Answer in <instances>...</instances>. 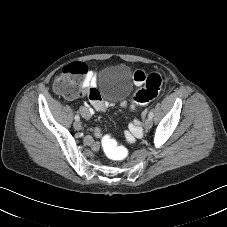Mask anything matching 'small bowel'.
I'll return each mask as SVG.
<instances>
[{
	"mask_svg": "<svg viewBox=\"0 0 227 227\" xmlns=\"http://www.w3.org/2000/svg\"><path fill=\"white\" fill-rule=\"evenodd\" d=\"M83 78V88L82 95H89L92 90H95L96 87V72L91 70L86 65L81 64ZM139 71V70H138ZM137 72V71H135ZM144 76L145 73H143ZM137 86H140L142 81H134ZM68 99H72V97H67ZM106 109V104L99 97L97 101H92V106L83 105L80 107L79 111L81 116L88 120L95 112H103ZM130 131L133 137L138 138L140 135V126L138 123H134L130 126ZM103 137V133L101 130L97 129L94 136H87L85 138L86 144L93 150L98 151L100 149V142L98 139Z\"/></svg>",
	"mask_w": 227,
	"mask_h": 227,
	"instance_id": "obj_1",
	"label": "small bowel"
}]
</instances>
